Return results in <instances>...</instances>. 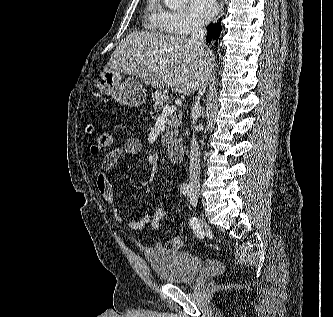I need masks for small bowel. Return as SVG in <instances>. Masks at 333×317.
<instances>
[{
	"instance_id": "c3829d8e",
	"label": "small bowel",
	"mask_w": 333,
	"mask_h": 317,
	"mask_svg": "<svg viewBox=\"0 0 333 317\" xmlns=\"http://www.w3.org/2000/svg\"><path fill=\"white\" fill-rule=\"evenodd\" d=\"M142 151V142L136 137H128L125 142L111 150L102 159L96 178V186L107 206L112 212L114 220L131 231H139L150 224L152 214H145L139 219L126 217L119 209L114 197L109 174L114 166L125 156H134Z\"/></svg>"
}]
</instances>
